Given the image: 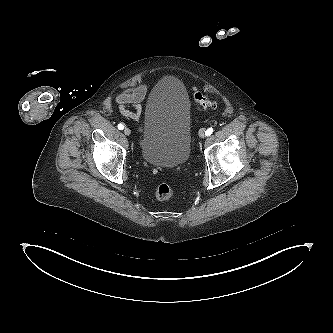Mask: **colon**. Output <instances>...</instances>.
I'll return each instance as SVG.
<instances>
[{
  "label": "colon",
  "instance_id": "obj_1",
  "mask_svg": "<svg viewBox=\"0 0 333 333\" xmlns=\"http://www.w3.org/2000/svg\"><path fill=\"white\" fill-rule=\"evenodd\" d=\"M195 102L197 106L201 109H216L217 102L202 92H196L194 95ZM157 169H154V172H157ZM174 196V191L172 187L166 183H162L158 186L156 190V197L160 201H168Z\"/></svg>",
  "mask_w": 333,
  "mask_h": 333
}]
</instances>
